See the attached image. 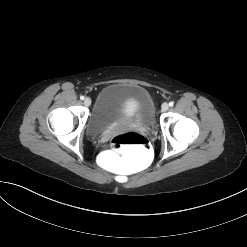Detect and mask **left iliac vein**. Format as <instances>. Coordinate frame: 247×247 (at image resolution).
<instances>
[{
    "label": "left iliac vein",
    "instance_id": "4c4485c4",
    "mask_svg": "<svg viewBox=\"0 0 247 247\" xmlns=\"http://www.w3.org/2000/svg\"><path fill=\"white\" fill-rule=\"evenodd\" d=\"M161 108L163 111H167L169 109V105L167 103H163Z\"/></svg>",
    "mask_w": 247,
    "mask_h": 247
}]
</instances>
